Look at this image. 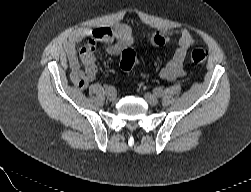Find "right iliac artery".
Instances as JSON below:
<instances>
[{"label": "right iliac artery", "mask_w": 251, "mask_h": 192, "mask_svg": "<svg viewBox=\"0 0 251 192\" xmlns=\"http://www.w3.org/2000/svg\"><path fill=\"white\" fill-rule=\"evenodd\" d=\"M105 92H106V94L107 93H111V92H115V87L114 86H111V85H107L106 87H105Z\"/></svg>", "instance_id": "82829eb1"}]
</instances>
